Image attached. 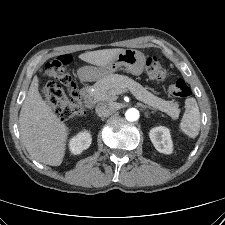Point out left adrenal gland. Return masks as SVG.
<instances>
[{
	"instance_id": "1",
	"label": "left adrenal gland",
	"mask_w": 225,
	"mask_h": 225,
	"mask_svg": "<svg viewBox=\"0 0 225 225\" xmlns=\"http://www.w3.org/2000/svg\"><path fill=\"white\" fill-rule=\"evenodd\" d=\"M142 108H144V109H151V107H148V106H146V105H142Z\"/></svg>"
}]
</instances>
